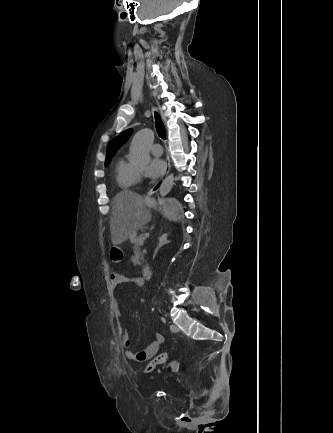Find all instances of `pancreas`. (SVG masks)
Listing matches in <instances>:
<instances>
[{"label":"pancreas","instance_id":"1","mask_svg":"<svg viewBox=\"0 0 333 433\" xmlns=\"http://www.w3.org/2000/svg\"><path fill=\"white\" fill-rule=\"evenodd\" d=\"M142 237V235L139 236H133L130 241L133 244V250L135 255H139L140 256V260H142V252L140 250V246L141 244L139 243V238ZM135 264H140V262H136Z\"/></svg>","mask_w":333,"mask_h":433}]
</instances>
